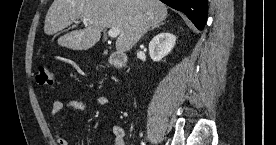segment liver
Here are the masks:
<instances>
[{"label": "liver", "mask_w": 276, "mask_h": 145, "mask_svg": "<svg viewBox=\"0 0 276 145\" xmlns=\"http://www.w3.org/2000/svg\"><path fill=\"white\" fill-rule=\"evenodd\" d=\"M167 6L159 0H54L44 24V32L53 35L72 22L89 18L85 28L69 32L58 44L72 50L93 47L105 28H118L116 40L119 53L129 51L150 27L168 16Z\"/></svg>", "instance_id": "liver-1"}]
</instances>
